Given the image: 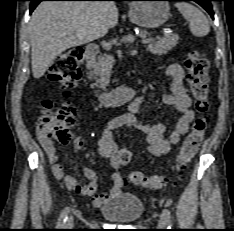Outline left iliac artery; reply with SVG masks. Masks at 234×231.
I'll return each mask as SVG.
<instances>
[{"instance_id": "1", "label": "left iliac artery", "mask_w": 234, "mask_h": 231, "mask_svg": "<svg viewBox=\"0 0 234 231\" xmlns=\"http://www.w3.org/2000/svg\"><path fill=\"white\" fill-rule=\"evenodd\" d=\"M163 215L165 216L166 221L168 223V228L171 229V227H172L171 212L168 209H164Z\"/></svg>"}]
</instances>
